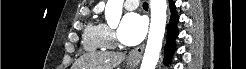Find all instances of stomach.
I'll return each instance as SVG.
<instances>
[{
	"instance_id": "obj_1",
	"label": "stomach",
	"mask_w": 246,
	"mask_h": 69,
	"mask_svg": "<svg viewBox=\"0 0 246 69\" xmlns=\"http://www.w3.org/2000/svg\"><path fill=\"white\" fill-rule=\"evenodd\" d=\"M128 67L129 69H134V67H136V63H129Z\"/></svg>"
}]
</instances>
